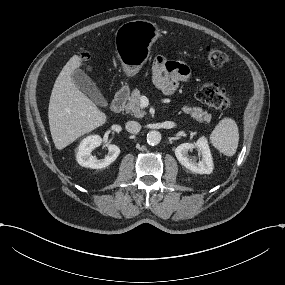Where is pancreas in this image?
<instances>
[{
	"label": "pancreas",
	"instance_id": "cf45deb5",
	"mask_svg": "<svg viewBox=\"0 0 285 285\" xmlns=\"http://www.w3.org/2000/svg\"><path fill=\"white\" fill-rule=\"evenodd\" d=\"M140 98H141L140 91L138 89H134L131 93L128 103L125 106V111L127 113H131L136 118H142L146 114V112L140 106ZM182 110L183 112L190 114L192 118H194L196 121L200 123L204 121L209 123L211 120V116L207 115V112L203 111V109L200 107L191 108L188 106H184Z\"/></svg>",
	"mask_w": 285,
	"mask_h": 285
}]
</instances>
